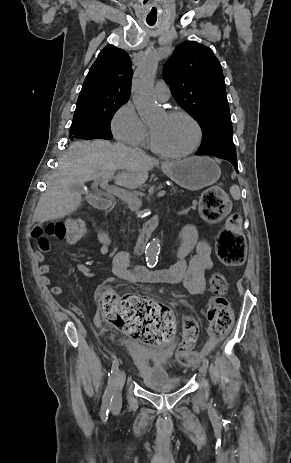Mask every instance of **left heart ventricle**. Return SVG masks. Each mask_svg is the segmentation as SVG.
<instances>
[{
	"label": "left heart ventricle",
	"instance_id": "b2bd125f",
	"mask_svg": "<svg viewBox=\"0 0 291 463\" xmlns=\"http://www.w3.org/2000/svg\"><path fill=\"white\" fill-rule=\"evenodd\" d=\"M155 146L169 153L188 149L194 142L193 125L182 117H168L165 114L150 124Z\"/></svg>",
	"mask_w": 291,
	"mask_h": 463
}]
</instances>
